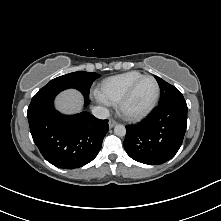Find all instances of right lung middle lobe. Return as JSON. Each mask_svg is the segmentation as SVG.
Returning a JSON list of instances; mask_svg holds the SVG:
<instances>
[{
    "mask_svg": "<svg viewBox=\"0 0 221 221\" xmlns=\"http://www.w3.org/2000/svg\"><path fill=\"white\" fill-rule=\"evenodd\" d=\"M99 77L100 75L97 73L84 71L69 73L51 80L37 92L33 99L46 95L58 94L68 88H75L79 90L84 97H88L89 89L93 81Z\"/></svg>",
    "mask_w": 221,
    "mask_h": 221,
    "instance_id": "1",
    "label": "right lung middle lobe"
}]
</instances>
